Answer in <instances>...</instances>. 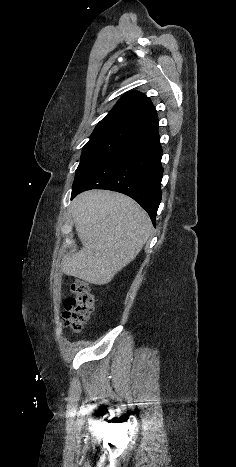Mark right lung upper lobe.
I'll return each mask as SVG.
<instances>
[{"label":"right lung upper lobe","mask_w":236,"mask_h":467,"mask_svg":"<svg viewBox=\"0 0 236 467\" xmlns=\"http://www.w3.org/2000/svg\"><path fill=\"white\" fill-rule=\"evenodd\" d=\"M157 126V114L150 99L138 91H129L122 96L96 128L118 127L142 134Z\"/></svg>","instance_id":"right-lung-upper-lobe-1"}]
</instances>
